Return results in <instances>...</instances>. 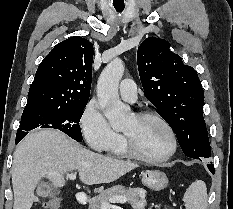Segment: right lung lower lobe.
Segmentation results:
<instances>
[{
  "label": "right lung lower lobe",
  "instance_id": "right-lung-lower-lobe-1",
  "mask_svg": "<svg viewBox=\"0 0 233 209\" xmlns=\"http://www.w3.org/2000/svg\"><path fill=\"white\" fill-rule=\"evenodd\" d=\"M22 138H23V137L16 138V144H18L19 141H20Z\"/></svg>",
  "mask_w": 233,
  "mask_h": 209
}]
</instances>
